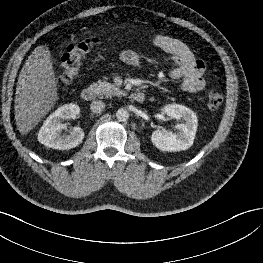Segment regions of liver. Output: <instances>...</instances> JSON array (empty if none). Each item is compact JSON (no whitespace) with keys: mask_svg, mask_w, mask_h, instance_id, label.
Segmentation results:
<instances>
[{"mask_svg":"<svg viewBox=\"0 0 263 263\" xmlns=\"http://www.w3.org/2000/svg\"><path fill=\"white\" fill-rule=\"evenodd\" d=\"M58 99L57 80L47 46L36 47L18 78L15 121L21 135L29 133Z\"/></svg>","mask_w":263,"mask_h":263,"instance_id":"obj_1","label":"liver"}]
</instances>
